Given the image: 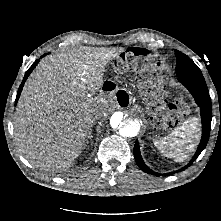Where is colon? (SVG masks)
Returning <instances> with one entry per match:
<instances>
[{
  "label": "colon",
  "instance_id": "1",
  "mask_svg": "<svg viewBox=\"0 0 221 221\" xmlns=\"http://www.w3.org/2000/svg\"><path fill=\"white\" fill-rule=\"evenodd\" d=\"M149 59V56L147 55L146 51L140 48H134L132 50L126 51L121 60L118 61L117 66L119 68H125L133 63H140L143 61H147ZM184 105L181 102H177V110L178 112H183Z\"/></svg>",
  "mask_w": 221,
  "mask_h": 221
}]
</instances>
